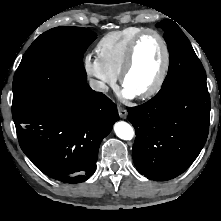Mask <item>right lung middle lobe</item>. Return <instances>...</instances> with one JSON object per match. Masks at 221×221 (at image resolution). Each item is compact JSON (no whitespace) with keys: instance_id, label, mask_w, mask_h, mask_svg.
<instances>
[{"instance_id":"right-lung-middle-lobe-1","label":"right lung middle lobe","mask_w":221,"mask_h":221,"mask_svg":"<svg viewBox=\"0 0 221 221\" xmlns=\"http://www.w3.org/2000/svg\"><path fill=\"white\" fill-rule=\"evenodd\" d=\"M97 38L81 27H56L25 52L13 80V116L86 82L83 54Z\"/></svg>"}]
</instances>
